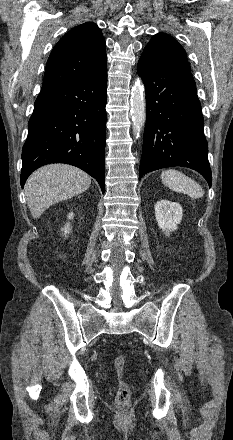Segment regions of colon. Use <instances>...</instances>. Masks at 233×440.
Wrapping results in <instances>:
<instances>
[{"mask_svg": "<svg viewBox=\"0 0 233 440\" xmlns=\"http://www.w3.org/2000/svg\"><path fill=\"white\" fill-rule=\"evenodd\" d=\"M126 358L124 355H118L114 360V366L119 377V387L115 397L116 406L120 409H126L131 402V388L124 379V369Z\"/></svg>", "mask_w": 233, "mask_h": 440, "instance_id": "obj_1", "label": "colon"}]
</instances>
